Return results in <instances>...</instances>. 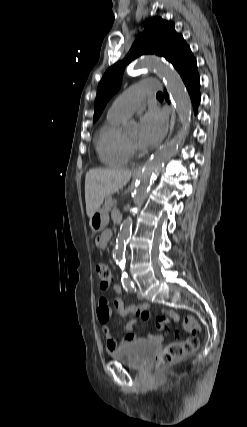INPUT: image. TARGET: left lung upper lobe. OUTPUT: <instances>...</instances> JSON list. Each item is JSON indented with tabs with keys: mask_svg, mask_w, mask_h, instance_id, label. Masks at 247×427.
<instances>
[{
	"mask_svg": "<svg viewBox=\"0 0 247 427\" xmlns=\"http://www.w3.org/2000/svg\"><path fill=\"white\" fill-rule=\"evenodd\" d=\"M144 54L162 56L171 62L176 70L194 57L182 35L176 33L171 21L160 17L148 21L145 30L137 36L126 58L111 66L100 81L95 100L94 120L98 119L107 101L119 88L125 66Z\"/></svg>",
	"mask_w": 247,
	"mask_h": 427,
	"instance_id": "obj_1",
	"label": "left lung upper lobe"
}]
</instances>
